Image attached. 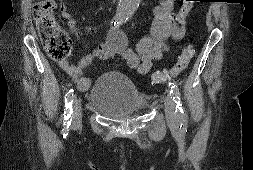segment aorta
Listing matches in <instances>:
<instances>
[{"mask_svg":"<svg viewBox=\"0 0 253 170\" xmlns=\"http://www.w3.org/2000/svg\"><path fill=\"white\" fill-rule=\"evenodd\" d=\"M141 0H119L117 15L120 18L130 17L139 7Z\"/></svg>","mask_w":253,"mask_h":170,"instance_id":"1","label":"aorta"}]
</instances>
